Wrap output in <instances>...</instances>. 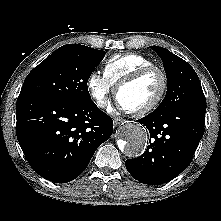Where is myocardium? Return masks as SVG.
Listing matches in <instances>:
<instances>
[{"label":"myocardium","mask_w":221,"mask_h":221,"mask_svg":"<svg viewBox=\"0 0 221 221\" xmlns=\"http://www.w3.org/2000/svg\"><path fill=\"white\" fill-rule=\"evenodd\" d=\"M153 71L158 72L160 74V77L162 80L161 90H160L159 94L156 96V98L151 103H149L143 107L137 108V109H127V108H124L123 106H121L118 101V95H119L120 91L123 88L137 82L138 80H140L141 78H143L144 76H146L147 74H149ZM167 89H168V77H167L166 72L161 67H159L157 65H150V66L142 67V68L136 70L135 72H133L132 74H130L129 76L122 79L116 85L115 98L118 101L119 106L126 113L132 114L135 116H142V115H145V114L153 111L161 104V102L163 101V99L167 93Z\"/></svg>","instance_id":"obj_1"}]
</instances>
